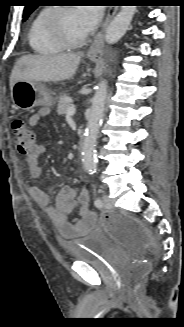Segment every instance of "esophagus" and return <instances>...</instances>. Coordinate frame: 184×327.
I'll list each match as a JSON object with an SVG mask.
<instances>
[{"label": "esophagus", "instance_id": "34e87169", "mask_svg": "<svg viewBox=\"0 0 184 327\" xmlns=\"http://www.w3.org/2000/svg\"><path fill=\"white\" fill-rule=\"evenodd\" d=\"M117 12V8H110L107 14V17L102 25L100 32L96 35L93 43L91 44L90 48L87 51L88 56H101L103 53V46H104V34L105 30Z\"/></svg>", "mask_w": 184, "mask_h": 327}]
</instances>
